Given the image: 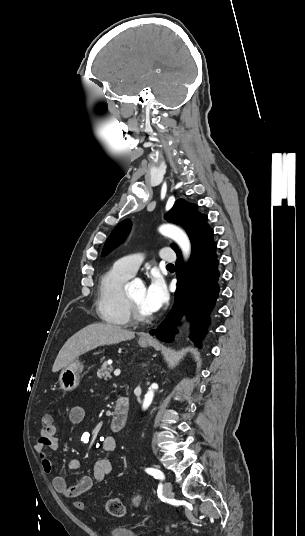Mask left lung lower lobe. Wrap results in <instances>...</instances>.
I'll return each mask as SVG.
<instances>
[{"instance_id":"obj_1","label":"left lung lower lobe","mask_w":305,"mask_h":536,"mask_svg":"<svg viewBox=\"0 0 305 536\" xmlns=\"http://www.w3.org/2000/svg\"><path fill=\"white\" fill-rule=\"evenodd\" d=\"M176 272L179 279L176 301L166 319L150 334L164 342H171L175 326L180 324L183 314L192 320L190 338L199 345L207 333L208 314L212 310L219 293V261L216 243L210 228L192 245L189 263L183 268L181 254L177 255Z\"/></svg>"}]
</instances>
